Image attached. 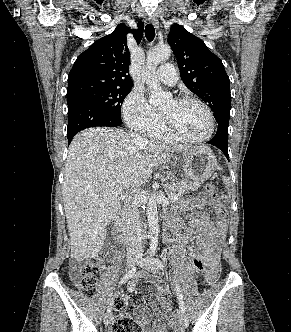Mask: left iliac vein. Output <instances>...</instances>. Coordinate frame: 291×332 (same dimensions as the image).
Returning a JSON list of instances; mask_svg holds the SVG:
<instances>
[{"label":"left iliac vein","instance_id":"4c4485c4","mask_svg":"<svg viewBox=\"0 0 291 332\" xmlns=\"http://www.w3.org/2000/svg\"><path fill=\"white\" fill-rule=\"evenodd\" d=\"M137 264L140 267L145 268L146 270L152 272V273H157L158 272V267L155 264L154 260L152 258H143L140 257L138 259ZM179 323L183 328H186L188 326V317L185 313L181 312L179 314Z\"/></svg>","mask_w":291,"mask_h":332}]
</instances>
